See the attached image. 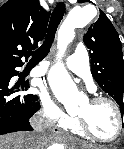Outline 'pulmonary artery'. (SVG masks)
<instances>
[{"mask_svg":"<svg viewBox=\"0 0 124 149\" xmlns=\"http://www.w3.org/2000/svg\"><path fill=\"white\" fill-rule=\"evenodd\" d=\"M66 67L81 77L91 91L95 90L94 81L90 72L89 58L86 49L83 46H77L75 53L66 61ZM47 72V68L38 67L30 75L39 76Z\"/></svg>","mask_w":124,"mask_h":149,"instance_id":"1","label":"pulmonary artery"}]
</instances>
